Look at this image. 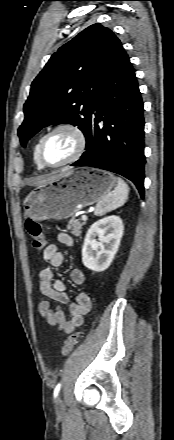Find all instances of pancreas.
Masks as SVG:
<instances>
[{
    "mask_svg": "<svg viewBox=\"0 0 174 440\" xmlns=\"http://www.w3.org/2000/svg\"><path fill=\"white\" fill-rule=\"evenodd\" d=\"M84 224H85L84 222H81L80 220L73 217L70 219L67 225V229L70 230L74 236L80 237Z\"/></svg>",
    "mask_w": 174,
    "mask_h": 440,
    "instance_id": "obj_1",
    "label": "pancreas"
}]
</instances>
